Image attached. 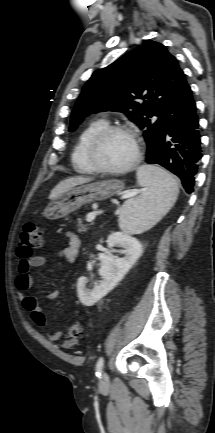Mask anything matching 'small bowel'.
Instances as JSON below:
<instances>
[{
  "label": "small bowel",
  "mask_w": 215,
  "mask_h": 433,
  "mask_svg": "<svg viewBox=\"0 0 215 433\" xmlns=\"http://www.w3.org/2000/svg\"><path fill=\"white\" fill-rule=\"evenodd\" d=\"M80 239L74 234H68V245L58 250V255L67 264H72L80 251ZM46 259L43 256L32 255L27 258H21L18 265V275L15 280V287L18 291L23 308L30 314L32 321L40 328L44 329L47 326V321L43 313L42 307L34 296L26 295L34 284V278L30 273L33 268L44 266ZM57 293H53V297H57ZM62 332H50L47 336L50 341H58L62 338ZM77 343L76 339H66L63 341L64 348H71Z\"/></svg>",
  "instance_id": "small-bowel-1"
}]
</instances>
